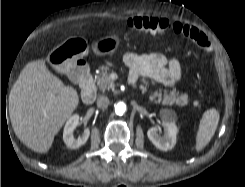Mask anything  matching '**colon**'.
<instances>
[{
  "label": "colon",
  "mask_w": 245,
  "mask_h": 187,
  "mask_svg": "<svg viewBox=\"0 0 245 187\" xmlns=\"http://www.w3.org/2000/svg\"><path fill=\"white\" fill-rule=\"evenodd\" d=\"M126 24L131 30L146 32L152 35H163L170 32L205 51L210 50L208 37L196 27L188 24L171 22L164 18L149 16H136L129 18Z\"/></svg>",
  "instance_id": "colon-1"
}]
</instances>
